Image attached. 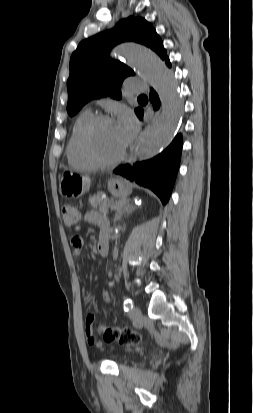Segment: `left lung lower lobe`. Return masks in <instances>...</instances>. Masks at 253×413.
Wrapping results in <instances>:
<instances>
[{
    "mask_svg": "<svg viewBox=\"0 0 253 413\" xmlns=\"http://www.w3.org/2000/svg\"><path fill=\"white\" fill-rule=\"evenodd\" d=\"M165 63L168 67H171L168 57L165 59ZM149 99L153 104V108L158 109L160 100L153 89L150 91ZM137 116L139 119L142 118V109L137 113ZM181 149L182 136L179 134L163 152L153 159L136 163L132 167L130 165L120 166L114 170V173L150 188L160 197L162 203L166 204L179 168Z\"/></svg>",
    "mask_w": 253,
    "mask_h": 413,
    "instance_id": "0a47b994",
    "label": "left lung lower lobe"
}]
</instances>
